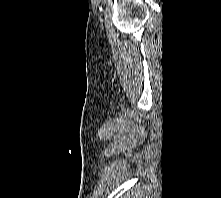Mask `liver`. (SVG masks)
Here are the masks:
<instances>
[{"label":"liver","mask_w":221,"mask_h":198,"mask_svg":"<svg viewBox=\"0 0 221 198\" xmlns=\"http://www.w3.org/2000/svg\"><path fill=\"white\" fill-rule=\"evenodd\" d=\"M133 198H150V196L148 197V194L144 192H137Z\"/></svg>","instance_id":"1"}]
</instances>
